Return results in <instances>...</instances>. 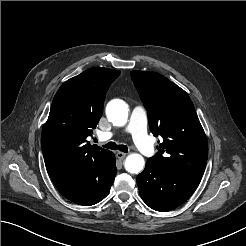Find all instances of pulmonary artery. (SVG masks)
Instances as JSON below:
<instances>
[{"instance_id":"obj_1","label":"pulmonary artery","mask_w":246,"mask_h":246,"mask_svg":"<svg viewBox=\"0 0 246 246\" xmlns=\"http://www.w3.org/2000/svg\"><path fill=\"white\" fill-rule=\"evenodd\" d=\"M148 118L145 109L137 106L133 109L128 125L125 131L129 133L138 149L145 156H151L154 153L153 145L147 134ZM112 132H104L99 135L101 140L112 138Z\"/></svg>"}]
</instances>
